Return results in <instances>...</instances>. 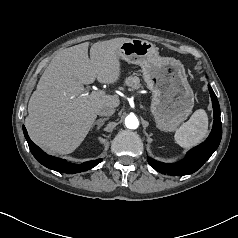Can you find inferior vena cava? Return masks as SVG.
<instances>
[{"mask_svg": "<svg viewBox=\"0 0 238 238\" xmlns=\"http://www.w3.org/2000/svg\"><path fill=\"white\" fill-rule=\"evenodd\" d=\"M114 112H115L114 107L106 105L100 106L97 109V114L100 116H111L114 114Z\"/></svg>", "mask_w": 238, "mask_h": 238, "instance_id": "inferior-vena-cava-1", "label": "inferior vena cava"}]
</instances>
